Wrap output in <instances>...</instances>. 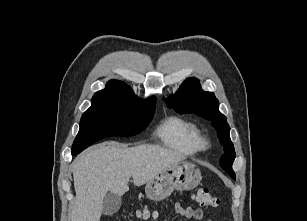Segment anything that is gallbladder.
Returning a JSON list of instances; mask_svg holds the SVG:
<instances>
[{"mask_svg":"<svg viewBox=\"0 0 307 221\" xmlns=\"http://www.w3.org/2000/svg\"><path fill=\"white\" fill-rule=\"evenodd\" d=\"M121 197L119 195L108 192L103 200L102 213L106 216L115 214L121 207Z\"/></svg>","mask_w":307,"mask_h":221,"instance_id":"gallbladder-1","label":"gallbladder"}]
</instances>
